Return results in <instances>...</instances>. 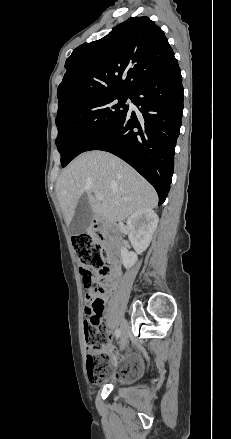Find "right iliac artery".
I'll return each instance as SVG.
<instances>
[{
  "instance_id": "obj_1",
  "label": "right iliac artery",
  "mask_w": 231,
  "mask_h": 439,
  "mask_svg": "<svg viewBox=\"0 0 231 439\" xmlns=\"http://www.w3.org/2000/svg\"><path fill=\"white\" fill-rule=\"evenodd\" d=\"M115 335H116V337H117V338H119V337H120V335H121V332H120V330H119V329H116V331H115Z\"/></svg>"
}]
</instances>
